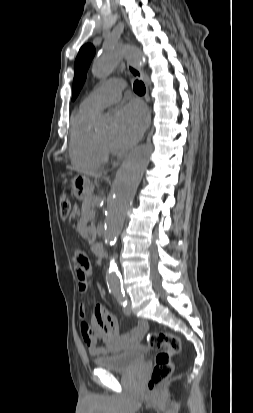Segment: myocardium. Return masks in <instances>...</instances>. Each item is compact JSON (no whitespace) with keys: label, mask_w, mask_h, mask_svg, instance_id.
I'll list each match as a JSON object with an SVG mask.
<instances>
[{"label":"myocardium","mask_w":253,"mask_h":413,"mask_svg":"<svg viewBox=\"0 0 253 413\" xmlns=\"http://www.w3.org/2000/svg\"><path fill=\"white\" fill-rule=\"evenodd\" d=\"M101 142L105 145L106 144V141L105 140H101Z\"/></svg>","instance_id":"myocardium-1"}]
</instances>
